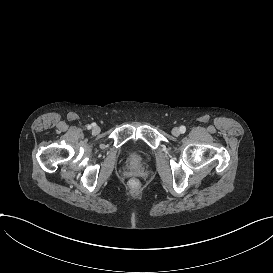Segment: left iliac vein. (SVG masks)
<instances>
[{
    "label": "left iliac vein",
    "instance_id": "4c4485c4",
    "mask_svg": "<svg viewBox=\"0 0 273 273\" xmlns=\"http://www.w3.org/2000/svg\"><path fill=\"white\" fill-rule=\"evenodd\" d=\"M172 134L174 136H179L181 134V131H180V129L178 127H175V128L172 129Z\"/></svg>",
    "mask_w": 273,
    "mask_h": 273
}]
</instances>
